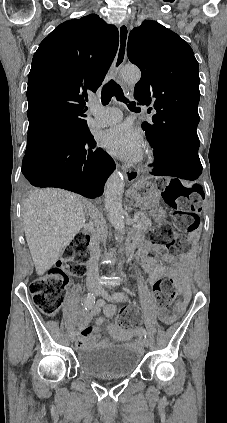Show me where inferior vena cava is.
<instances>
[{
  "label": "inferior vena cava",
  "instance_id": "inferior-vena-cava-1",
  "mask_svg": "<svg viewBox=\"0 0 227 423\" xmlns=\"http://www.w3.org/2000/svg\"><path fill=\"white\" fill-rule=\"evenodd\" d=\"M103 223L104 219L99 217V215L93 217V225H96V227H94L93 233L90 237V259L88 263L87 281H98L99 279L98 259L100 255V241L102 239L99 229H101V225H103Z\"/></svg>",
  "mask_w": 227,
  "mask_h": 423
}]
</instances>
